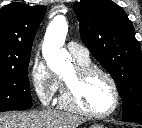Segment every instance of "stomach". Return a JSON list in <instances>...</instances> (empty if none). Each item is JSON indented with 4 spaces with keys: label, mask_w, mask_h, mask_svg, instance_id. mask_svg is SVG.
<instances>
[{
    "label": "stomach",
    "mask_w": 142,
    "mask_h": 128,
    "mask_svg": "<svg viewBox=\"0 0 142 128\" xmlns=\"http://www.w3.org/2000/svg\"><path fill=\"white\" fill-rule=\"evenodd\" d=\"M89 128H106V127H104L103 125L94 124L91 125Z\"/></svg>",
    "instance_id": "stomach-1"
}]
</instances>
